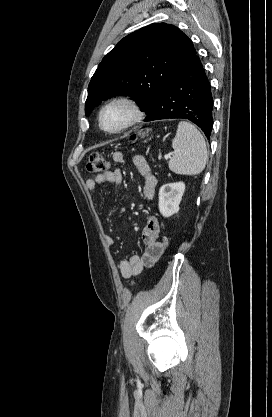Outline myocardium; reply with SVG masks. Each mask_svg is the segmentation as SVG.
Here are the masks:
<instances>
[{"label":"myocardium","instance_id":"obj_1","mask_svg":"<svg viewBox=\"0 0 272 417\" xmlns=\"http://www.w3.org/2000/svg\"><path fill=\"white\" fill-rule=\"evenodd\" d=\"M116 105L125 106L129 110L130 116L127 119V121L123 123L121 126H119L118 128L107 129L103 124L104 113L107 109ZM143 117H144L143 110L139 102L133 96L119 95V96L112 98L111 100H109L107 103H105L102 106L98 114V124H99L100 129L104 131L105 133L110 134V135H117V134L127 131L128 129L140 123Z\"/></svg>","mask_w":272,"mask_h":417}]
</instances>
